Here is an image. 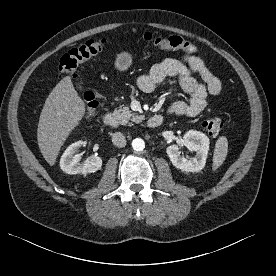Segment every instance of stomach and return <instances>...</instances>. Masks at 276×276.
<instances>
[{
	"label": "stomach",
	"instance_id": "0dacf381",
	"mask_svg": "<svg viewBox=\"0 0 276 276\" xmlns=\"http://www.w3.org/2000/svg\"><path fill=\"white\" fill-rule=\"evenodd\" d=\"M132 65V57L128 52H121L115 60V67L120 71H125Z\"/></svg>",
	"mask_w": 276,
	"mask_h": 276
}]
</instances>
